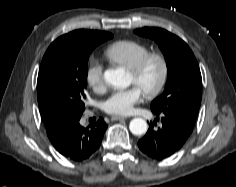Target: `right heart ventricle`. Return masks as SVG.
Returning a JSON list of instances; mask_svg holds the SVG:
<instances>
[{
	"label": "right heart ventricle",
	"instance_id": "1",
	"mask_svg": "<svg viewBox=\"0 0 236 187\" xmlns=\"http://www.w3.org/2000/svg\"><path fill=\"white\" fill-rule=\"evenodd\" d=\"M147 53L149 49L143 43L135 40H119L106 48L104 56L111 63L129 69Z\"/></svg>",
	"mask_w": 236,
	"mask_h": 187
}]
</instances>
